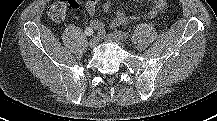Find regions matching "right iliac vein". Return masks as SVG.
Returning a JSON list of instances; mask_svg holds the SVG:
<instances>
[{"instance_id": "obj_1", "label": "right iliac vein", "mask_w": 217, "mask_h": 121, "mask_svg": "<svg viewBox=\"0 0 217 121\" xmlns=\"http://www.w3.org/2000/svg\"><path fill=\"white\" fill-rule=\"evenodd\" d=\"M98 42H99L98 38H97V37H93V38L90 39V41H89V46H90L91 48H94V47L97 46Z\"/></svg>"}]
</instances>
